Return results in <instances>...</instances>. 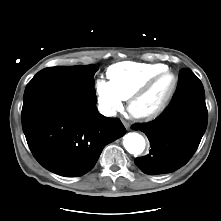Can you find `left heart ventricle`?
<instances>
[{
	"label": "left heart ventricle",
	"mask_w": 221,
	"mask_h": 221,
	"mask_svg": "<svg viewBox=\"0 0 221 221\" xmlns=\"http://www.w3.org/2000/svg\"><path fill=\"white\" fill-rule=\"evenodd\" d=\"M171 84L172 77L165 76L143 99L136 104V111L145 113L156 109L165 98Z\"/></svg>",
	"instance_id": "obj_1"
}]
</instances>
